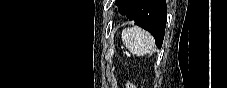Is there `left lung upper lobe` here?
Listing matches in <instances>:
<instances>
[{
    "label": "left lung upper lobe",
    "instance_id": "1",
    "mask_svg": "<svg viewBox=\"0 0 227 88\" xmlns=\"http://www.w3.org/2000/svg\"><path fill=\"white\" fill-rule=\"evenodd\" d=\"M119 0H116V5H118Z\"/></svg>",
    "mask_w": 227,
    "mask_h": 88
}]
</instances>
